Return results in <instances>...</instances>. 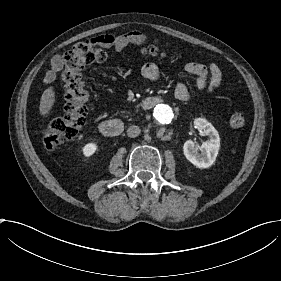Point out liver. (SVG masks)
Instances as JSON below:
<instances>
[{"label": "liver", "mask_w": 281, "mask_h": 281, "mask_svg": "<svg viewBox=\"0 0 281 281\" xmlns=\"http://www.w3.org/2000/svg\"><path fill=\"white\" fill-rule=\"evenodd\" d=\"M54 102H55V92L53 91V87H49L43 92L41 96L40 107H39L40 114L41 115L48 114Z\"/></svg>", "instance_id": "liver-1"}]
</instances>
